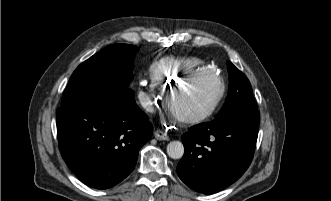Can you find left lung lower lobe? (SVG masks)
I'll list each match as a JSON object with an SVG mask.
<instances>
[{"instance_id": "left-lung-lower-lobe-1", "label": "left lung lower lobe", "mask_w": 331, "mask_h": 201, "mask_svg": "<svg viewBox=\"0 0 331 201\" xmlns=\"http://www.w3.org/2000/svg\"><path fill=\"white\" fill-rule=\"evenodd\" d=\"M259 112H237L191 127L182 136L177 174L191 189L211 194L237 181L249 167L258 137Z\"/></svg>"}]
</instances>
